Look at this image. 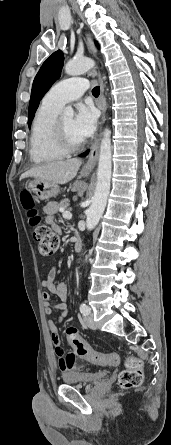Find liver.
Returning <instances> with one entry per match:
<instances>
[{"mask_svg":"<svg viewBox=\"0 0 171 445\" xmlns=\"http://www.w3.org/2000/svg\"><path fill=\"white\" fill-rule=\"evenodd\" d=\"M80 166L81 161L77 158L51 162L31 168L20 179L34 177L55 184H66L76 176Z\"/></svg>","mask_w":171,"mask_h":445,"instance_id":"obj_1","label":"liver"}]
</instances>
